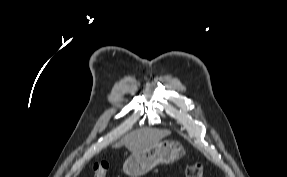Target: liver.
<instances>
[{
  "label": "liver",
  "instance_id": "liver-1",
  "mask_svg": "<svg viewBox=\"0 0 287 177\" xmlns=\"http://www.w3.org/2000/svg\"><path fill=\"white\" fill-rule=\"evenodd\" d=\"M169 130L140 128L127 134L115 147L124 145L131 152L141 151L170 135Z\"/></svg>",
  "mask_w": 287,
  "mask_h": 177
}]
</instances>
